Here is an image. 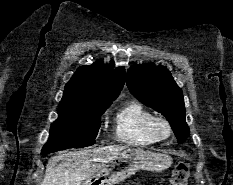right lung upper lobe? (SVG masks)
<instances>
[{"label": "right lung upper lobe", "instance_id": "obj_1", "mask_svg": "<svg viewBox=\"0 0 233 185\" xmlns=\"http://www.w3.org/2000/svg\"><path fill=\"white\" fill-rule=\"evenodd\" d=\"M124 77V67L112 70L102 62L82 66L66 84L62 101L78 104L113 101L123 88Z\"/></svg>", "mask_w": 233, "mask_h": 185}]
</instances>
